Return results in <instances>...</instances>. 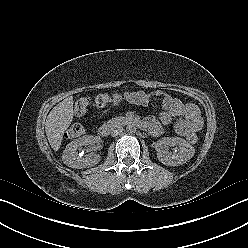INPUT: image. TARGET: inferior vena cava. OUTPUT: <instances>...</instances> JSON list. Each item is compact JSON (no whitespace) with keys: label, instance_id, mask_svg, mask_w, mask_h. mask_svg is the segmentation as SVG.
Here are the masks:
<instances>
[{"label":"inferior vena cava","instance_id":"1","mask_svg":"<svg viewBox=\"0 0 248 248\" xmlns=\"http://www.w3.org/2000/svg\"><path fill=\"white\" fill-rule=\"evenodd\" d=\"M122 131H123V127L122 126H117V127L113 128L111 130V135L112 136L120 135L122 133Z\"/></svg>","mask_w":248,"mask_h":248}]
</instances>
